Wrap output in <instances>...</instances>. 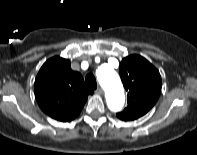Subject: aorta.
Instances as JSON below:
<instances>
[{"label":"aorta","instance_id":"762f6f07","mask_svg":"<svg viewBox=\"0 0 197 155\" xmlns=\"http://www.w3.org/2000/svg\"><path fill=\"white\" fill-rule=\"evenodd\" d=\"M97 79L105 90L107 106L120 111L125 102L124 88L117 72L109 65H101L96 71Z\"/></svg>","mask_w":197,"mask_h":155}]
</instances>
